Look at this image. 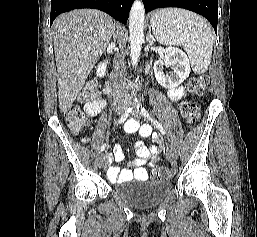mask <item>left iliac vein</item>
Returning a JSON list of instances; mask_svg holds the SVG:
<instances>
[{
	"instance_id": "1",
	"label": "left iliac vein",
	"mask_w": 257,
	"mask_h": 237,
	"mask_svg": "<svg viewBox=\"0 0 257 237\" xmlns=\"http://www.w3.org/2000/svg\"><path fill=\"white\" fill-rule=\"evenodd\" d=\"M132 115L134 117H138L139 116L138 110L134 109ZM167 154H168V157L170 159H176L177 158V155H178L177 150L172 144L169 145L168 150H167Z\"/></svg>"
}]
</instances>
